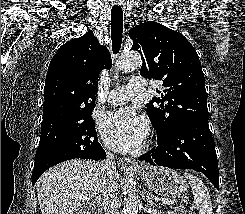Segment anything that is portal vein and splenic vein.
<instances>
[{
    "mask_svg": "<svg viewBox=\"0 0 245 214\" xmlns=\"http://www.w3.org/2000/svg\"><path fill=\"white\" fill-rule=\"evenodd\" d=\"M76 199H82L83 201H89V197L87 195H77L75 196ZM165 205H173L174 203H177L175 200H168V201H162Z\"/></svg>",
    "mask_w": 245,
    "mask_h": 214,
    "instance_id": "obj_1",
    "label": "portal vein and splenic vein"
}]
</instances>
